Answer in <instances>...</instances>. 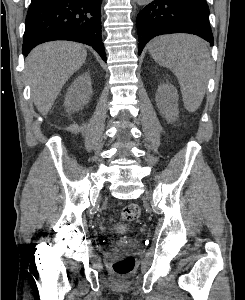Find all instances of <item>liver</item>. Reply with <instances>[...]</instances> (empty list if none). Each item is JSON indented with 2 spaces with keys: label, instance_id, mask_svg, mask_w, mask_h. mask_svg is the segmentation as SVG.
I'll use <instances>...</instances> for the list:
<instances>
[{
  "label": "liver",
  "instance_id": "liver-1",
  "mask_svg": "<svg viewBox=\"0 0 245 300\" xmlns=\"http://www.w3.org/2000/svg\"><path fill=\"white\" fill-rule=\"evenodd\" d=\"M86 57L84 46L68 41L44 43L31 51L25 61V76L42 115L49 112L66 81L80 69Z\"/></svg>",
  "mask_w": 245,
  "mask_h": 300
}]
</instances>
